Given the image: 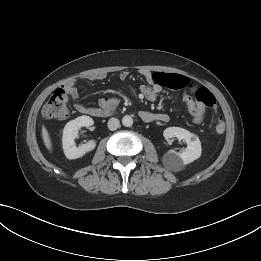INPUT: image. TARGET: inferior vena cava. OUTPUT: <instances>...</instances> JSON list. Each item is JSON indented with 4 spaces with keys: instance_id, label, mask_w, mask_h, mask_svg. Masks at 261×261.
Instances as JSON below:
<instances>
[{
    "instance_id": "inferior-vena-cava-1",
    "label": "inferior vena cava",
    "mask_w": 261,
    "mask_h": 261,
    "mask_svg": "<svg viewBox=\"0 0 261 261\" xmlns=\"http://www.w3.org/2000/svg\"><path fill=\"white\" fill-rule=\"evenodd\" d=\"M119 124H120V122L118 119L111 118L108 121V128H109V130L114 131L119 127Z\"/></svg>"
}]
</instances>
